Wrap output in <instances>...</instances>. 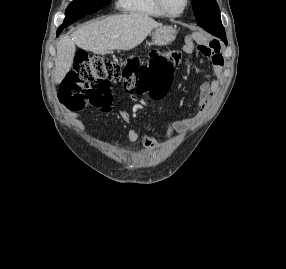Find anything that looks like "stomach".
<instances>
[{
    "mask_svg": "<svg viewBox=\"0 0 286 269\" xmlns=\"http://www.w3.org/2000/svg\"><path fill=\"white\" fill-rule=\"evenodd\" d=\"M176 30L172 26H161L152 33V42L157 46H164L174 41Z\"/></svg>",
    "mask_w": 286,
    "mask_h": 269,
    "instance_id": "stomach-1",
    "label": "stomach"
}]
</instances>
